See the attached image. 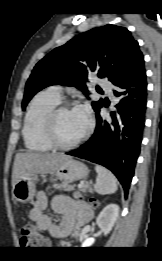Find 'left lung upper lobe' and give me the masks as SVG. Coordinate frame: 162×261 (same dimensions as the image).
<instances>
[{
  "label": "left lung upper lobe",
  "instance_id": "obj_1",
  "mask_svg": "<svg viewBox=\"0 0 162 261\" xmlns=\"http://www.w3.org/2000/svg\"><path fill=\"white\" fill-rule=\"evenodd\" d=\"M139 45L124 27L106 25L75 36L40 60L29 77L22 108L40 90L51 85L75 86L87 92V75L114 82L143 60ZM103 100L93 102L98 111Z\"/></svg>",
  "mask_w": 162,
  "mask_h": 261
}]
</instances>
